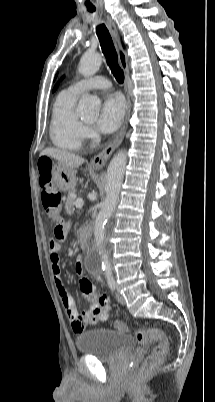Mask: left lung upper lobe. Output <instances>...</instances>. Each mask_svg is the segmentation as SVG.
I'll return each instance as SVG.
<instances>
[{"instance_id":"obj_1","label":"left lung upper lobe","mask_w":215,"mask_h":402,"mask_svg":"<svg viewBox=\"0 0 215 402\" xmlns=\"http://www.w3.org/2000/svg\"><path fill=\"white\" fill-rule=\"evenodd\" d=\"M63 79V77L61 78V80ZM56 88H57V85L54 87V89H53V91H55L56 90Z\"/></svg>"}]
</instances>
